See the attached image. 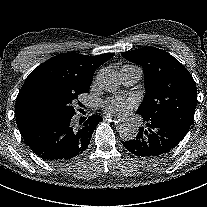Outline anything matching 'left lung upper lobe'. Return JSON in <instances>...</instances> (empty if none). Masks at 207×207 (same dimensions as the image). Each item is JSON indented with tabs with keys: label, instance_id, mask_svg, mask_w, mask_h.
<instances>
[{
	"label": "left lung upper lobe",
	"instance_id": "1",
	"mask_svg": "<svg viewBox=\"0 0 207 207\" xmlns=\"http://www.w3.org/2000/svg\"><path fill=\"white\" fill-rule=\"evenodd\" d=\"M144 71L146 94L138 108L143 120L169 121L187 132L197 105V88L188 70L172 55L154 47L122 52Z\"/></svg>",
	"mask_w": 207,
	"mask_h": 207
}]
</instances>
